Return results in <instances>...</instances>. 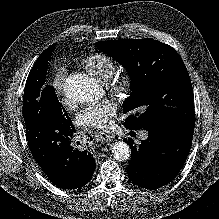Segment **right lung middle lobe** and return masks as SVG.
<instances>
[{
	"mask_svg": "<svg viewBox=\"0 0 219 219\" xmlns=\"http://www.w3.org/2000/svg\"><path fill=\"white\" fill-rule=\"evenodd\" d=\"M55 44L46 49L36 60L28 75L23 96V118L27 122L38 113L58 116L65 125H72L71 119L59 102L55 90L44 85L48 61L52 56Z\"/></svg>",
	"mask_w": 219,
	"mask_h": 219,
	"instance_id": "obj_1",
	"label": "right lung middle lobe"
}]
</instances>
